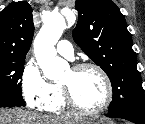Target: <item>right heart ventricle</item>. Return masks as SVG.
I'll return each mask as SVG.
<instances>
[{
  "instance_id": "right-heart-ventricle-1",
  "label": "right heart ventricle",
  "mask_w": 145,
  "mask_h": 124,
  "mask_svg": "<svg viewBox=\"0 0 145 124\" xmlns=\"http://www.w3.org/2000/svg\"><path fill=\"white\" fill-rule=\"evenodd\" d=\"M52 87H53V94H54L53 102L50 106L42 109L55 115L63 114L66 111L67 106L64 101L61 88L58 84H53Z\"/></svg>"
}]
</instances>
